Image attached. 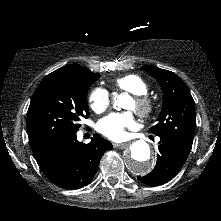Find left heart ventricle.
Instances as JSON below:
<instances>
[{
    "instance_id": "b2bd125f",
    "label": "left heart ventricle",
    "mask_w": 221,
    "mask_h": 221,
    "mask_svg": "<svg viewBox=\"0 0 221 221\" xmlns=\"http://www.w3.org/2000/svg\"><path fill=\"white\" fill-rule=\"evenodd\" d=\"M128 107H129V108H134V102L131 101V102L129 103Z\"/></svg>"
}]
</instances>
